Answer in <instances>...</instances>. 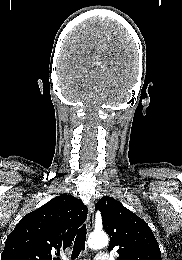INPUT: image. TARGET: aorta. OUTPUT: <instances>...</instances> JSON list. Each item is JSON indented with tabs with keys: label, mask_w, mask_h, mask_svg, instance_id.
Listing matches in <instances>:
<instances>
[{
	"label": "aorta",
	"mask_w": 182,
	"mask_h": 260,
	"mask_svg": "<svg viewBox=\"0 0 182 260\" xmlns=\"http://www.w3.org/2000/svg\"><path fill=\"white\" fill-rule=\"evenodd\" d=\"M108 236L103 233H92L88 238V246L92 249H102L108 245Z\"/></svg>",
	"instance_id": "aorta-1"
}]
</instances>
